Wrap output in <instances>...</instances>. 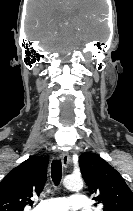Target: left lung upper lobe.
<instances>
[{"mask_svg":"<svg viewBox=\"0 0 133 211\" xmlns=\"http://www.w3.org/2000/svg\"><path fill=\"white\" fill-rule=\"evenodd\" d=\"M82 176L103 211H133V193L122 176L95 153L79 156Z\"/></svg>","mask_w":133,"mask_h":211,"instance_id":"5c2ea615","label":"left lung upper lobe"}]
</instances>
